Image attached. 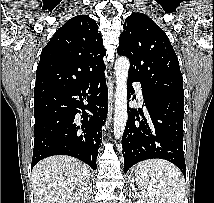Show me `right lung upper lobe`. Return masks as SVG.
<instances>
[{"label": "right lung upper lobe", "instance_id": "cb5924a9", "mask_svg": "<svg viewBox=\"0 0 214 203\" xmlns=\"http://www.w3.org/2000/svg\"><path fill=\"white\" fill-rule=\"evenodd\" d=\"M105 54L96 21L89 15L71 18L41 52L34 98L65 90L103 73Z\"/></svg>", "mask_w": 214, "mask_h": 203}]
</instances>
